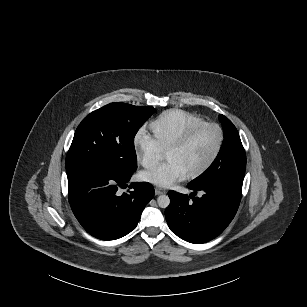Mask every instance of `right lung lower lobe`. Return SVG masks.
<instances>
[{"instance_id":"1","label":"right lung lower lobe","mask_w":307,"mask_h":307,"mask_svg":"<svg viewBox=\"0 0 307 307\" xmlns=\"http://www.w3.org/2000/svg\"><path fill=\"white\" fill-rule=\"evenodd\" d=\"M132 174L105 168H81L67 174L69 202L83 228L102 240H114L131 232L154 196L151 184L133 185L134 190L118 196V187Z\"/></svg>"}]
</instances>
